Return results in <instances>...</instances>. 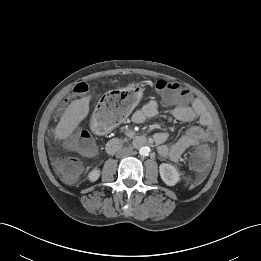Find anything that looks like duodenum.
<instances>
[{"label":"duodenum","instance_id":"410a0bca","mask_svg":"<svg viewBox=\"0 0 261 261\" xmlns=\"http://www.w3.org/2000/svg\"><path fill=\"white\" fill-rule=\"evenodd\" d=\"M147 138L143 135H138L133 138V144L135 146H142L146 144ZM122 141L120 139H111L106 144V152L108 154H113L122 147Z\"/></svg>","mask_w":261,"mask_h":261}]
</instances>
